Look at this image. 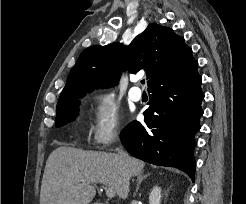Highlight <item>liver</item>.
Masks as SVG:
<instances>
[{
  "mask_svg": "<svg viewBox=\"0 0 246 204\" xmlns=\"http://www.w3.org/2000/svg\"><path fill=\"white\" fill-rule=\"evenodd\" d=\"M144 166L129 155L122 161L115 153L58 147L46 161L40 204H89L97 183L112 187L119 199H126L130 179Z\"/></svg>",
  "mask_w": 246,
  "mask_h": 204,
  "instance_id": "6515ba94",
  "label": "liver"
}]
</instances>
